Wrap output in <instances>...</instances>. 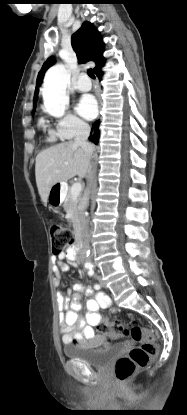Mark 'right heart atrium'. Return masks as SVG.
Segmentation results:
<instances>
[{"instance_id": "1", "label": "right heart atrium", "mask_w": 187, "mask_h": 415, "mask_svg": "<svg viewBox=\"0 0 187 415\" xmlns=\"http://www.w3.org/2000/svg\"><path fill=\"white\" fill-rule=\"evenodd\" d=\"M57 132L61 139H72L88 131V125L72 113H66L56 122Z\"/></svg>"}]
</instances>
